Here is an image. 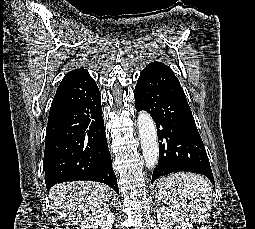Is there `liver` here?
I'll return each instance as SVG.
<instances>
[{
	"label": "liver",
	"instance_id": "6515ba94",
	"mask_svg": "<svg viewBox=\"0 0 255 229\" xmlns=\"http://www.w3.org/2000/svg\"><path fill=\"white\" fill-rule=\"evenodd\" d=\"M111 190L105 184L93 181H79L59 184L50 195L52 208L60 211L69 223L77 224L83 216L107 206Z\"/></svg>",
	"mask_w": 255,
	"mask_h": 229
}]
</instances>
